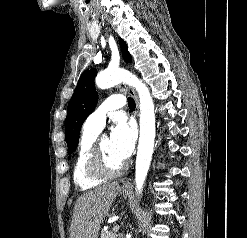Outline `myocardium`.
<instances>
[{
  "mask_svg": "<svg viewBox=\"0 0 247 238\" xmlns=\"http://www.w3.org/2000/svg\"><path fill=\"white\" fill-rule=\"evenodd\" d=\"M103 138L96 139L87 162V172L93 178L111 179L120 176L126 170L128 163L124 161L118 168H111L106 163L101 142Z\"/></svg>",
  "mask_w": 247,
  "mask_h": 238,
  "instance_id": "f54148a6",
  "label": "myocardium"
}]
</instances>
